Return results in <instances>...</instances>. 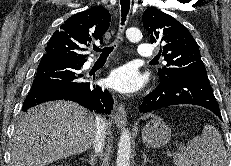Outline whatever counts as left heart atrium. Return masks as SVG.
<instances>
[{"instance_id":"39dd6f15","label":"left heart atrium","mask_w":231,"mask_h":166,"mask_svg":"<svg viewBox=\"0 0 231 166\" xmlns=\"http://www.w3.org/2000/svg\"><path fill=\"white\" fill-rule=\"evenodd\" d=\"M112 88L122 93L132 94L145 84V77L133 65H124L114 69L108 78Z\"/></svg>"}]
</instances>
